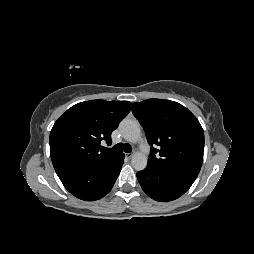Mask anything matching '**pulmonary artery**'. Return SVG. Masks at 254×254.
Here are the masks:
<instances>
[{
	"label": "pulmonary artery",
	"instance_id": "obj_1",
	"mask_svg": "<svg viewBox=\"0 0 254 254\" xmlns=\"http://www.w3.org/2000/svg\"><path fill=\"white\" fill-rule=\"evenodd\" d=\"M142 151H146L148 149V146L145 143H142V145L140 146Z\"/></svg>",
	"mask_w": 254,
	"mask_h": 254
}]
</instances>
